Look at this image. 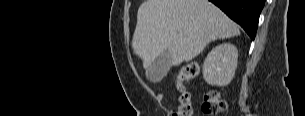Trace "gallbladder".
<instances>
[{"label": "gallbladder", "mask_w": 305, "mask_h": 116, "mask_svg": "<svg viewBox=\"0 0 305 116\" xmlns=\"http://www.w3.org/2000/svg\"><path fill=\"white\" fill-rule=\"evenodd\" d=\"M171 67V56L168 51L160 54L146 69V78L152 83H159Z\"/></svg>", "instance_id": "obj_1"}]
</instances>
